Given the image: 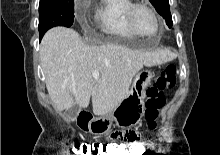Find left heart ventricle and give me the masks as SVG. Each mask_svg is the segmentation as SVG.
I'll return each instance as SVG.
<instances>
[{"label": "left heart ventricle", "mask_w": 220, "mask_h": 155, "mask_svg": "<svg viewBox=\"0 0 220 155\" xmlns=\"http://www.w3.org/2000/svg\"><path fill=\"white\" fill-rule=\"evenodd\" d=\"M137 29L146 36H153L157 31V23L153 15L144 8H139L134 13Z\"/></svg>", "instance_id": "1"}]
</instances>
